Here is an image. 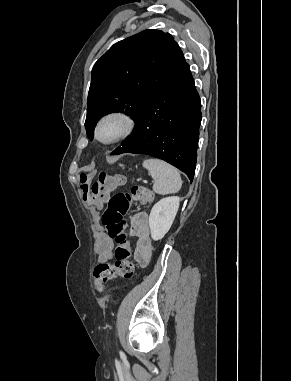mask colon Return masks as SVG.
Wrapping results in <instances>:
<instances>
[{
	"label": "colon",
	"instance_id": "5ec220e1",
	"mask_svg": "<svg viewBox=\"0 0 291 381\" xmlns=\"http://www.w3.org/2000/svg\"><path fill=\"white\" fill-rule=\"evenodd\" d=\"M123 184L122 177L109 176L103 172L98 181L89 186L82 185L85 200L92 204L107 202V209L101 215V223L107 235L116 242L114 263H99L94 267L93 277L99 291L104 290L105 284L113 278L133 276L135 267L131 260L132 251L126 233L125 216L133 202L145 205L152 196L151 191L141 185L132 186L128 193L115 192Z\"/></svg>",
	"mask_w": 291,
	"mask_h": 381
}]
</instances>
